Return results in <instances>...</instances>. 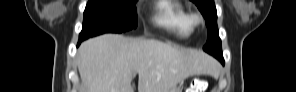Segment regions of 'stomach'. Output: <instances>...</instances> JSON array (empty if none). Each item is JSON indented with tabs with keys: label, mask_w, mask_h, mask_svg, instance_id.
<instances>
[{
	"label": "stomach",
	"mask_w": 296,
	"mask_h": 92,
	"mask_svg": "<svg viewBox=\"0 0 296 92\" xmlns=\"http://www.w3.org/2000/svg\"><path fill=\"white\" fill-rule=\"evenodd\" d=\"M168 92H182V88L175 86L174 88L170 89Z\"/></svg>",
	"instance_id": "obj_1"
}]
</instances>
